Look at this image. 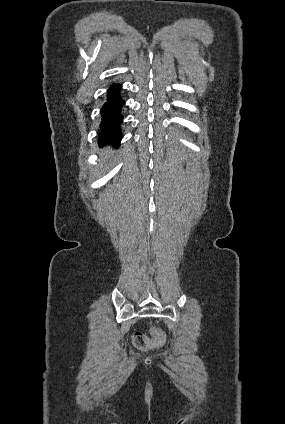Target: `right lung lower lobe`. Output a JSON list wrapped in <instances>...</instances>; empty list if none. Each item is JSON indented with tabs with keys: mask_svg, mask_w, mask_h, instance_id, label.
<instances>
[{
	"mask_svg": "<svg viewBox=\"0 0 285 424\" xmlns=\"http://www.w3.org/2000/svg\"><path fill=\"white\" fill-rule=\"evenodd\" d=\"M121 85L112 84L107 91V100L101 109V124L99 142L119 145L121 141L122 115L120 110L124 100L120 95Z\"/></svg>",
	"mask_w": 285,
	"mask_h": 424,
	"instance_id": "obj_1",
	"label": "right lung lower lobe"
}]
</instances>
